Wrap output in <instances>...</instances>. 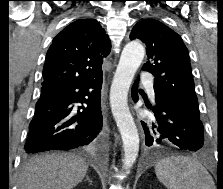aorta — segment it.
<instances>
[{
	"mask_svg": "<svg viewBox=\"0 0 223 189\" xmlns=\"http://www.w3.org/2000/svg\"><path fill=\"white\" fill-rule=\"evenodd\" d=\"M144 55L145 48L140 42L127 43L121 53L110 89L111 110L122 137V161L126 170L133 166L139 152V134L128 107V91Z\"/></svg>",
	"mask_w": 223,
	"mask_h": 189,
	"instance_id": "aorta-1",
	"label": "aorta"
}]
</instances>
